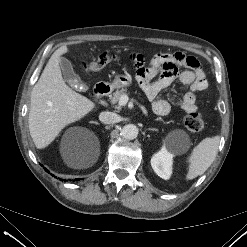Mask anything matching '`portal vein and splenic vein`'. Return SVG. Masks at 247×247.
Wrapping results in <instances>:
<instances>
[{
	"label": "portal vein and splenic vein",
	"mask_w": 247,
	"mask_h": 247,
	"mask_svg": "<svg viewBox=\"0 0 247 247\" xmlns=\"http://www.w3.org/2000/svg\"><path fill=\"white\" fill-rule=\"evenodd\" d=\"M128 101H129V97L127 95H122L119 99V105L125 106ZM141 109H142L144 114H147V110L144 106L141 105Z\"/></svg>",
	"instance_id": "portal-vein-and-splenic-vein-1"
}]
</instances>
